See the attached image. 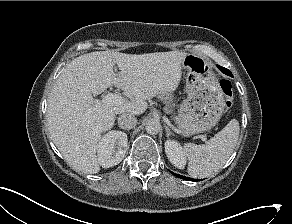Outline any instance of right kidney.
<instances>
[{
    "mask_svg": "<svg viewBox=\"0 0 292 224\" xmlns=\"http://www.w3.org/2000/svg\"><path fill=\"white\" fill-rule=\"evenodd\" d=\"M127 134L122 131H110L98 143L97 159L103 168L119 164L126 153ZM115 145H117L115 147Z\"/></svg>",
    "mask_w": 292,
    "mask_h": 224,
    "instance_id": "1",
    "label": "right kidney"
}]
</instances>
